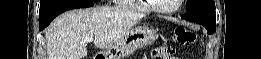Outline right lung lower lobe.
I'll return each mask as SVG.
<instances>
[{
  "mask_svg": "<svg viewBox=\"0 0 261 59\" xmlns=\"http://www.w3.org/2000/svg\"><path fill=\"white\" fill-rule=\"evenodd\" d=\"M93 6V1L91 0H67L63 3L56 5L55 7L49 9L42 15H39L40 20V31L45 29L51 21L59 14L76 8H86Z\"/></svg>",
  "mask_w": 261,
  "mask_h": 59,
  "instance_id": "obj_1",
  "label": "right lung lower lobe"
}]
</instances>
